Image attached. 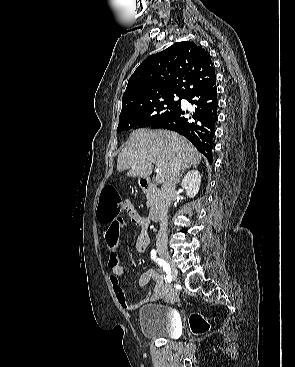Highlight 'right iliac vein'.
I'll return each mask as SVG.
<instances>
[{"mask_svg": "<svg viewBox=\"0 0 295 367\" xmlns=\"http://www.w3.org/2000/svg\"><path fill=\"white\" fill-rule=\"evenodd\" d=\"M158 253L163 258V260L169 265V267L171 269V275H172L174 281H177V269H176L175 265L173 264V262L171 261V258H170V255H169L168 251L164 248H159Z\"/></svg>", "mask_w": 295, "mask_h": 367, "instance_id": "obj_1", "label": "right iliac vein"}]
</instances>
